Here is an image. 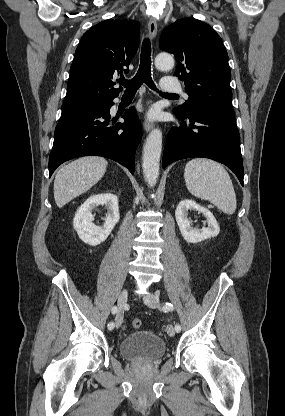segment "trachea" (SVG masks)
<instances>
[{
  "label": "trachea",
  "instance_id": "1",
  "mask_svg": "<svg viewBox=\"0 0 285 416\" xmlns=\"http://www.w3.org/2000/svg\"><path fill=\"white\" fill-rule=\"evenodd\" d=\"M120 85L125 87L126 92H136L143 83H145L149 88L159 92L161 96H176L174 93H163L160 92L151 77V43L148 38H145L141 48V61L138 72L131 80H126V78L121 77L118 80Z\"/></svg>",
  "mask_w": 285,
  "mask_h": 416
}]
</instances>
